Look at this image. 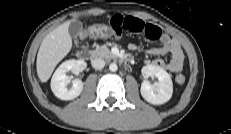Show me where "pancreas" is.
I'll return each mask as SVG.
<instances>
[{
  "instance_id": "pancreas-1",
  "label": "pancreas",
  "mask_w": 231,
  "mask_h": 134,
  "mask_svg": "<svg viewBox=\"0 0 231 134\" xmlns=\"http://www.w3.org/2000/svg\"><path fill=\"white\" fill-rule=\"evenodd\" d=\"M94 57H101L106 59H114L116 56L111 53L107 46H99L93 52Z\"/></svg>"
}]
</instances>
